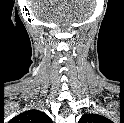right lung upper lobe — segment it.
Segmentation results:
<instances>
[{
  "label": "right lung upper lobe",
  "mask_w": 124,
  "mask_h": 123,
  "mask_svg": "<svg viewBox=\"0 0 124 123\" xmlns=\"http://www.w3.org/2000/svg\"><path fill=\"white\" fill-rule=\"evenodd\" d=\"M20 123H51V118L44 112L38 110H28L13 118Z\"/></svg>",
  "instance_id": "cb5924a9"
}]
</instances>
